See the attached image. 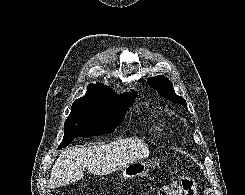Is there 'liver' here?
<instances>
[{
  "instance_id": "1",
  "label": "liver",
  "mask_w": 245,
  "mask_h": 195,
  "mask_svg": "<svg viewBox=\"0 0 245 195\" xmlns=\"http://www.w3.org/2000/svg\"><path fill=\"white\" fill-rule=\"evenodd\" d=\"M149 156V149L139 138H126L92 147H73L63 151L51 172L50 188L81 180L84 170L106 175Z\"/></svg>"
}]
</instances>
